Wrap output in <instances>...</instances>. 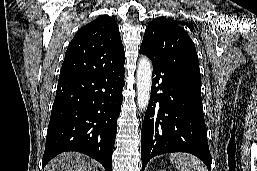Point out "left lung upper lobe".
Masks as SVG:
<instances>
[{"instance_id":"obj_1","label":"left lung upper lobe","mask_w":257,"mask_h":171,"mask_svg":"<svg viewBox=\"0 0 257 171\" xmlns=\"http://www.w3.org/2000/svg\"><path fill=\"white\" fill-rule=\"evenodd\" d=\"M140 53L152 61H168L201 80L195 45L183 28L165 18H158L146 28Z\"/></svg>"}]
</instances>
